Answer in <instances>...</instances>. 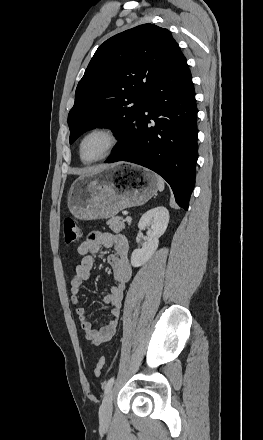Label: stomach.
Masks as SVG:
<instances>
[{
	"instance_id": "stomach-1",
	"label": "stomach",
	"mask_w": 263,
	"mask_h": 440,
	"mask_svg": "<svg viewBox=\"0 0 263 440\" xmlns=\"http://www.w3.org/2000/svg\"><path fill=\"white\" fill-rule=\"evenodd\" d=\"M157 190V175L148 169L105 166L78 177L69 189L67 204L78 219H108L123 209L145 204Z\"/></svg>"
}]
</instances>
